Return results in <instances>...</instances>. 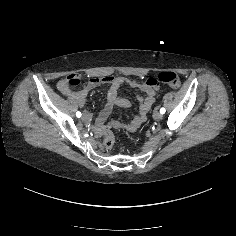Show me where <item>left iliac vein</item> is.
<instances>
[{
    "mask_svg": "<svg viewBox=\"0 0 236 236\" xmlns=\"http://www.w3.org/2000/svg\"><path fill=\"white\" fill-rule=\"evenodd\" d=\"M153 118H154L155 120H159V119L162 118V114H161L160 112H158V111H155V112L153 113Z\"/></svg>",
    "mask_w": 236,
    "mask_h": 236,
    "instance_id": "1",
    "label": "left iliac vein"
}]
</instances>
